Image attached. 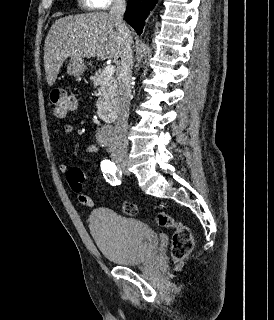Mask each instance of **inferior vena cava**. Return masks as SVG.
Returning <instances> with one entry per match:
<instances>
[{"instance_id":"602c4592","label":"inferior vena cava","mask_w":274,"mask_h":320,"mask_svg":"<svg viewBox=\"0 0 274 320\" xmlns=\"http://www.w3.org/2000/svg\"><path fill=\"white\" fill-rule=\"evenodd\" d=\"M125 0H113L110 8V16L115 22L116 32L122 42L121 64L118 74L119 100L117 126L125 132L130 110L131 82H132V36L128 30L123 16L125 14ZM127 142H123L121 148H126Z\"/></svg>"}]
</instances>
